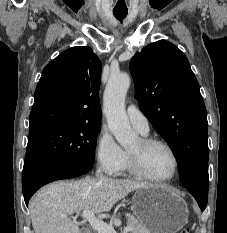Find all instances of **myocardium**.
Returning <instances> with one entry per match:
<instances>
[{
	"mask_svg": "<svg viewBox=\"0 0 227 233\" xmlns=\"http://www.w3.org/2000/svg\"><path fill=\"white\" fill-rule=\"evenodd\" d=\"M140 147H141V151L151 147V146H155V145H160L163 146L164 148H166L170 154L172 155L173 161H174V169L172 171V173L167 176V177H155L151 174H149L142 163V158H141V151L140 152H133V151H128V156H129V162H130V166L131 169L133 171L134 174H136L137 176L149 180V181H153V182H168L171 181L172 179H174L179 171V166H180V162H179V158L178 155L176 153V151L174 150V148L167 143L164 140L158 139V138H152V137H142L140 138Z\"/></svg>",
	"mask_w": 227,
	"mask_h": 233,
	"instance_id": "f54148a6",
	"label": "myocardium"
}]
</instances>
